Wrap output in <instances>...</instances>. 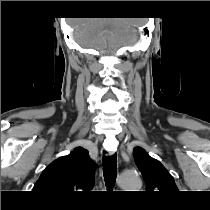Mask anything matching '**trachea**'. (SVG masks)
<instances>
[{
    "label": "trachea",
    "mask_w": 210,
    "mask_h": 210,
    "mask_svg": "<svg viewBox=\"0 0 210 210\" xmlns=\"http://www.w3.org/2000/svg\"><path fill=\"white\" fill-rule=\"evenodd\" d=\"M117 154L108 158L103 157L104 180L107 186H113L117 176Z\"/></svg>",
    "instance_id": "1"
}]
</instances>
